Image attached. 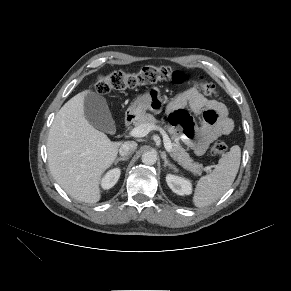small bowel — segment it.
I'll use <instances>...</instances> for the list:
<instances>
[{"label": "small bowel", "instance_id": "c3829d8e", "mask_svg": "<svg viewBox=\"0 0 291 291\" xmlns=\"http://www.w3.org/2000/svg\"><path fill=\"white\" fill-rule=\"evenodd\" d=\"M186 108L202 115L200 125L193 122ZM167 113L170 123L181 129L184 143L198 155H202L217 138L230 134L234 127L226 106L196 89L178 94L169 103Z\"/></svg>", "mask_w": 291, "mask_h": 291}]
</instances>
